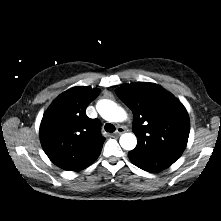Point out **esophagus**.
<instances>
[{"mask_svg":"<svg viewBox=\"0 0 221 221\" xmlns=\"http://www.w3.org/2000/svg\"><path fill=\"white\" fill-rule=\"evenodd\" d=\"M125 132V128L123 127V126H119L118 128H117V130L115 131V134L116 135H121L122 133H124Z\"/></svg>","mask_w":221,"mask_h":221,"instance_id":"obj_1","label":"esophagus"}]
</instances>
